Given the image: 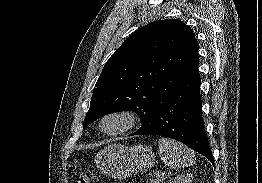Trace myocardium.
Masks as SVG:
<instances>
[{"label": "myocardium", "instance_id": "obj_1", "mask_svg": "<svg viewBox=\"0 0 262 183\" xmlns=\"http://www.w3.org/2000/svg\"><path fill=\"white\" fill-rule=\"evenodd\" d=\"M119 118L122 120V125L113 131H106L103 129V123L109 118ZM141 123L140 114L130 108H120L113 109L104 113L98 121V129L106 136H117L124 134L134 128H136Z\"/></svg>", "mask_w": 262, "mask_h": 183}]
</instances>
